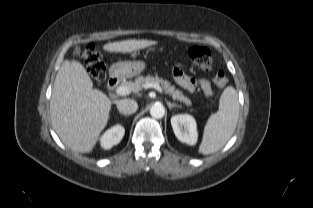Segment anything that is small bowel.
I'll return each instance as SVG.
<instances>
[{"label":"small bowel","instance_id":"1","mask_svg":"<svg viewBox=\"0 0 313 208\" xmlns=\"http://www.w3.org/2000/svg\"><path fill=\"white\" fill-rule=\"evenodd\" d=\"M173 77L178 85L190 92H193L197 88V86H199L203 90L205 95L210 96L212 94L211 85L207 80L201 79L197 81L196 79L186 75L178 67H175L173 69Z\"/></svg>","mask_w":313,"mask_h":208}]
</instances>
